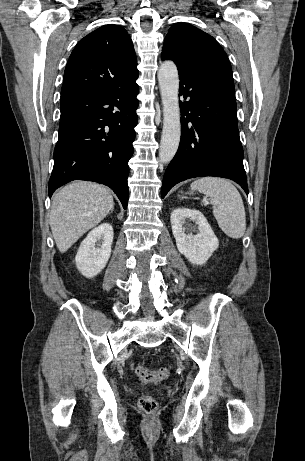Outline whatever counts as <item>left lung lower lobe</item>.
I'll use <instances>...</instances> for the list:
<instances>
[{
    "instance_id": "0a47b994",
    "label": "left lung lower lobe",
    "mask_w": 305,
    "mask_h": 461,
    "mask_svg": "<svg viewBox=\"0 0 305 461\" xmlns=\"http://www.w3.org/2000/svg\"><path fill=\"white\" fill-rule=\"evenodd\" d=\"M179 76L181 140L164 174L162 198L180 181L201 176L232 179L248 195L233 78Z\"/></svg>"
}]
</instances>
